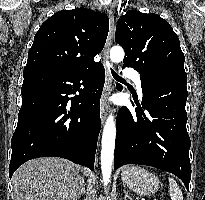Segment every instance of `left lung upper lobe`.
<instances>
[{
  "label": "left lung upper lobe",
  "instance_id": "obj_1",
  "mask_svg": "<svg viewBox=\"0 0 205 200\" xmlns=\"http://www.w3.org/2000/svg\"><path fill=\"white\" fill-rule=\"evenodd\" d=\"M115 41L125 50L123 68L133 67L140 76L185 71L179 38L157 14L129 10L117 21Z\"/></svg>",
  "mask_w": 205,
  "mask_h": 200
}]
</instances>
